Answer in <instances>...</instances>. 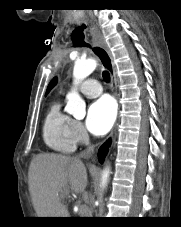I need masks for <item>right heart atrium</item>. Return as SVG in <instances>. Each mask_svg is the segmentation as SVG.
I'll return each mask as SVG.
<instances>
[{
  "mask_svg": "<svg viewBox=\"0 0 181 227\" xmlns=\"http://www.w3.org/2000/svg\"><path fill=\"white\" fill-rule=\"evenodd\" d=\"M71 131L76 143L86 144L88 142L89 136L80 121H72Z\"/></svg>",
  "mask_w": 181,
  "mask_h": 227,
  "instance_id": "d8ad5b80",
  "label": "right heart atrium"
}]
</instances>
